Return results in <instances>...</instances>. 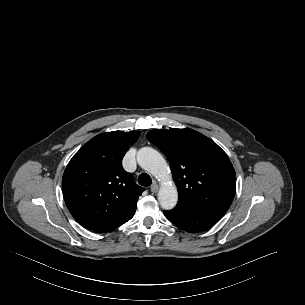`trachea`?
<instances>
[{"instance_id":"3493384b","label":"trachea","mask_w":305,"mask_h":305,"mask_svg":"<svg viewBox=\"0 0 305 305\" xmlns=\"http://www.w3.org/2000/svg\"><path fill=\"white\" fill-rule=\"evenodd\" d=\"M138 183L141 185V186H150L152 184V179L151 177L146 174V173H142L140 174V176L138 177Z\"/></svg>"}]
</instances>
